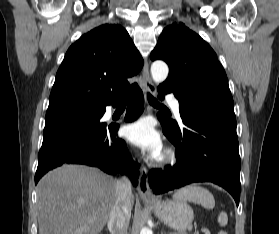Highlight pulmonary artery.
Here are the masks:
<instances>
[{
    "mask_svg": "<svg viewBox=\"0 0 279 234\" xmlns=\"http://www.w3.org/2000/svg\"><path fill=\"white\" fill-rule=\"evenodd\" d=\"M167 99H168V103H169L170 108L175 113V115L177 117H179L180 116V112H179L180 103H179V101L171 95H168Z\"/></svg>",
    "mask_w": 279,
    "mask_h": 234,
    "instance_id": "pulmonary-artery-1",
    "label": "pulmonary artery"
}]
</instances>
